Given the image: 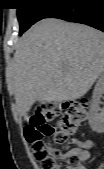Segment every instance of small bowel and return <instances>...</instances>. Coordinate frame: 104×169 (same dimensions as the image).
Segmentation results:
<instances>
[{
  "label": "small bowel",
  "instance_id": "obj_1",
  "mask_svg": "<svg viewBox=\"0 0 104 169\" xmlns=\"http://www.w3.org/2000/svg\"><path fill=\"white\" fill-rule=\"evenodd\" d=\"M82 158V160L86 161L90 158V152L88 150H84V149H76L75 150ZM82 169H85L84 167H82Z\"/></svg>",
  "mask_w": 104,
  "mask_h": 169
}]
</instances>
